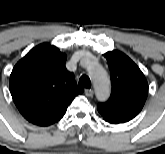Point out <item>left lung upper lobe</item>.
<instances>
[{"label":"left lung upper lobe","mask_w":165,"mask_h":154,"mask_svg":"<svg viewBox=\"0 0 165 154\" xmlns=\"http://www.w3.org/2000/svg\"><path fill=\"white\" fill-rule=\"evenodd\" d=\"M104 56L110 70L112 92L108 101L98 103L97 109L107 122H128L144 106L148 94L147 80L125 54L114 50Z\"/></svg>","instance_id":"left-lung-upper-lobe-1"}]
</instances>
